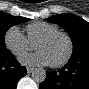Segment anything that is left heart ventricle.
Masks as SVG:
<instances>
[{
  "label": "left heart ventricle",
  "instance_id": "1",
  "mask_svg": "<svg viewBox=\"0 0 89 89\" xmlns=\"http://www.w3.org/2000/svg\"><path fill=\"white\" fill-rule=\"evenodd\" d=\"M37 50L44 52L51 63H56L66 56L68 43L65 37L57 36L50 41L40 43Z\"/></svg>",
  "mask_w": 89,
  "mask_h": 89
}]
</instances>
